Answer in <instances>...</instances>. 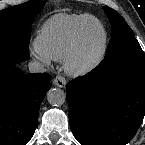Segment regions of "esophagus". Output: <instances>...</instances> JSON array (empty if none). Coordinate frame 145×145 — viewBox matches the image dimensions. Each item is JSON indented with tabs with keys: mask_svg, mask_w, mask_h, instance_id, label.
<instances>
[{
	"mask_svg": "<svg viewBox=\"0 0 145 145\" xmlns=\"http://www.w3.org/2000/svg\"><path fill=\"white\" fill-rule=\"evenodd\" d=\"M53 84L55 86H57V87L65 88V86H66V80H65V78L62 75H58V76H56L54 78Z\"/></svg>",
	"mask_w": 145,
	"mask_h": 145,
	"instance_id": "34e87169",
	"label": "esophagus"
}]
</instances>
